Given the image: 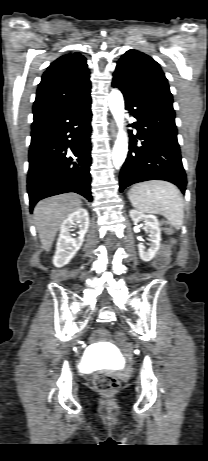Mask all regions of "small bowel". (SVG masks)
I'll return each mask as SVG.
<instances>
[{
  "mask_svg": "<svg viewBox=\"0 0 208 461\" xmlns=\"http://www.w3.org/2000/svg\"><path fill=\"white\" fill-rule=\"evenodd\" d=\"M95 337L98 338V339H101V338L105 337V331L104 330L98 331L96 333Z\"/></svg>",
  "mask_w": 208,
  "mask_h": 461,
  "instance_id": "small-bowel-1",
  "label": "small bowel"
}]
</instances>
